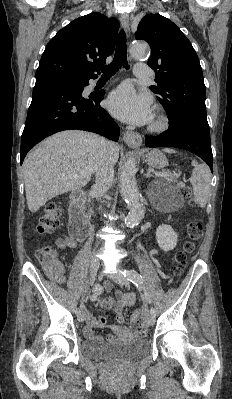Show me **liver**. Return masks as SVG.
<instances>
[{
	"instance_id": "liver-1",
	"label": "liver",
	"mask_w": 232,
	"mask_h": 399,
	"mask_svg": "<svg viewBox=\"0 0 232 399\" xmlns=\"http://www.w3.org/2000/svg\"><path fill=\"white\" fill-rule=\"evenodd\" d=\"M99 140L96 134L68 130L46 138L27 154L22 170L30 211H37L59 194L87 186L101 150ZM110 152L116 164L117 144H113Z\"/></svg>"
}]
</instances>
